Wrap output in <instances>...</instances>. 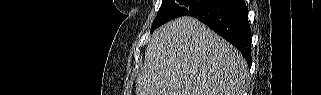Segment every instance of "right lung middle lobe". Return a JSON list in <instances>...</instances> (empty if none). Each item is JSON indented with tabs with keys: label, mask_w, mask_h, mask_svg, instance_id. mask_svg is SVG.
Returning <instances> with one entry per match:
<instances>
[{
	"label": "right lung middle lobe",
	"mask_w": 321,
	"mask_h": 95,
	"mask_svg": "<svg viewBox=\"0 0 321 95\" xmlns=\"http://www.w3.org/2000/svg\"><path fill=\"white\" fill-rule=\"evenodd\" d=\"M211 0H163L157 16L153 21L151 32L174 18L189 15Z\"/></svg>",
	"instance_id": "obj_1"
}]
</instances>
